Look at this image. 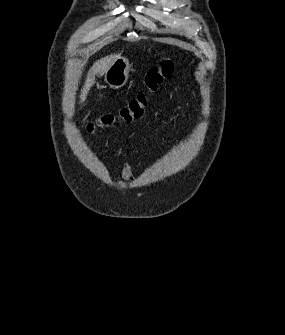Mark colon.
I'll list each match as a JSON object with an SVG mask.
<instances>
[{"mask_svg":"<svg viewBox=\"0 0 285 335\" xmlns=\"http://www.w3.org/2000/svg\"><path fill=\"white\" fill-rule=\"evenodd\" d=\"M174 71V64L169 58L163 57L155 67L150 68L145 75L146 91L139 92L116 114H106L96 123L86 127L90 135L96 134L101 129L111 128L117 124L129 123L141 118L149 103V93L158 89L161 83L169 78Z\"/></svg>","mask_w":285,"mask_h":335,"instance_id":"1","label":"colon"}]
</instances>
